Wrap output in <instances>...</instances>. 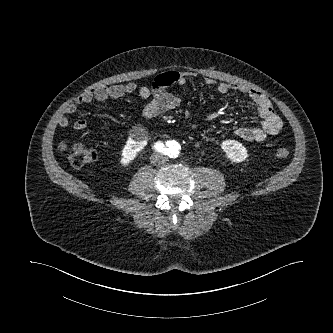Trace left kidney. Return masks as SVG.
Masks as SVG:
<instances>
[{
	"label": "left kidney",
	"mask_w": 333,
	"mask_h": 333,
	"mask_svg": "<svg viewBox=\"0 0 333 333\" xmlns=\"http://www.w3.org/2000/svg\"><path fill=\"white\" fill-rule=\"evenodd\" d=\"M221 148L233 162H242L248 157L246 148L238 141L225 140L222 142Z\"/></svg>",
	"instance_id": "1"
}]
</instances>
